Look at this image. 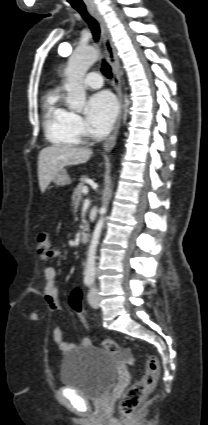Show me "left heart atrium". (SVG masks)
I'll use <instances>...</instances> for the list:
<instances>
[{
    "mask_svg": "<svg viewBox=\"0 0 208 425\" xmlns=\"http://www.w3.org/2000/svg\"><path fill=\"white\" fill-rule=\"evenodd\" d=\"M118 107L115 98L109 92L94 94L88 101L87 125L96 135H104L111 129Z\"/></svg>",
    "mask_w": 208,
    "mask_h": 425,
    "instance_id": "39dd6f15",
    "label": "left heart atrium"
}]
</instances>
